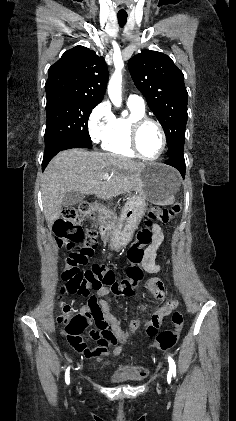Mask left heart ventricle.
Listing matches in <instances>:
<instances>
[{"instance_id":"obj_1","label":"left heart ventricle","mask_w":236,"mask_h":421,"mask_svg":"<svg viewBox=\"0 0 236 421\" xmlns=\"http://www.w3.org/2000/svg\"><path fill=\"white\" fill-rule=\"evenodd\" d=\"M138 146L146 157H155L161 149V136L158 129L151 123L143 124L138 132Z\"/></svg>"}]
</instances>
